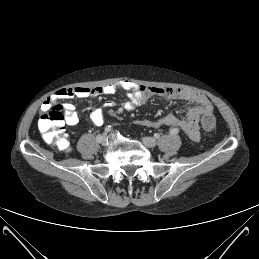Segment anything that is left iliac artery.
<instances>
[{
    "label": "left iliac artery",
    "mask_w": 259,
    "mask_h": 259,
    "mask_svg": "<svg viewBox=\"0 0 259 259\" xmlns=\"http://www.w3.org/2000/svg\"><path fill=\"white\" fill-rule=\"evenodd\" d=\"M169 132H170L171 135H175V134L178 133V129L177 128H172V129H170Z\"/></svg>",
    "instance_id": "44dca946"
}]
</instances>
